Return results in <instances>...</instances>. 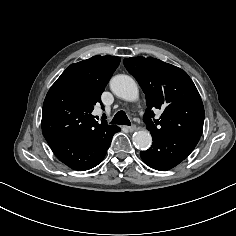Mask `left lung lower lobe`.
Segmentation results:
<instances>
[{
	"instance_id": "obj_1",
	"label": "left lung lower lobe",
	"mask_w": 236,
	"mask_h": 236,
	"mask_svg": "<svg viewBox=\"0 0 236 236\" xmlns=\"http://www.w3.org/2000/svg\"><path fill=\"white\" fill-rule=\"evenodd\" d=\"M152 139V146L146 151H141L140 156L151 168L165 171L187 158L197 145L200 136H152Z\"/></svg>"
}]
</instances>
